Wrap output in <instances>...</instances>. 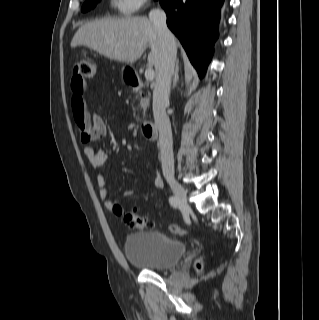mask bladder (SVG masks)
<instances>
[{
    "label": "bladder",
    "mask_w": 319,
    "mask_h": 320,
    "mask_svg": "<svg viewBox=\"0 0 319 320\" xmlns=\"http://www.w3.org/2000/svg\"><path fill=\"white\" fill-rule=\"evenodd\" d=\"M186 251L185 243L160 231L129 234L124 254L129 263L146 270L166 271L176 267Z\"/></svg>",
    "instance_id": "1"
}]
</instances>
